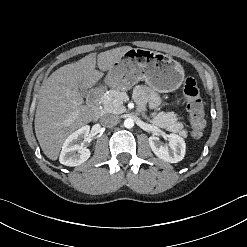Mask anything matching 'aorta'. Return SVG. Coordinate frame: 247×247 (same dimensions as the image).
Segmentation results:
<instances>
[{"instance_id": "1", "label": "aorta", "mask_w": 247, "mask_h": 247, "mask_svg": "<svg viewBox=\"0 0 247 247\" xmlns=\"http://www.w3.org/2000/svg\"><path fill=\"white\" fill-rule=\"evenodd\" d=\"M124 126L128 129L132 128L134 126V121L131 118H127L124 121Z\"/></svg>"}]
</instances>
